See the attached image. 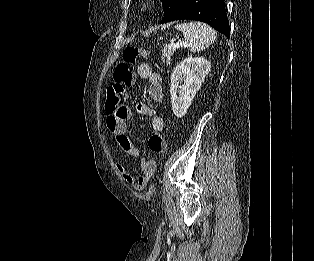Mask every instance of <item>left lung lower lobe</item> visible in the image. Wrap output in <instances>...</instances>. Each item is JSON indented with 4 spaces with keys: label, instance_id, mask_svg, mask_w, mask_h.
Instances as JSON below:
<instances>
[{
    "label": "left lung lower lobe",
    "instance_id": "left-lung-lower-lobe-1",
    "mask_svg": "<svg viewBox=\"0 0 314 261\" xmlns=\"http://www.w3.org/2000/svg\"><path fill=\"white\" fill-rule=\"evenodd\" d=\"M184 19L205 22L228 38L230 36L224 0H184L170 21Z\"/></svg>",
    "mask_w": 314,
    "mask_h": 261
}]
</instances>
